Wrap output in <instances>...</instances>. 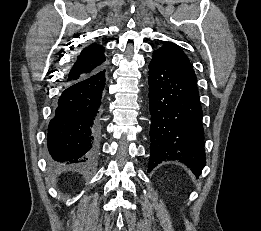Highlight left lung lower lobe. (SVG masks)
<instances>
[{
  "mask_svg": "<svg viewBox=\"0 0 261 231\" xmlns=\"http://www.w3.org/2000/svg\"><path fill=\"white\" fill-rule=\"evenodd\" d=\"M151 152L148 171L178 160L198 177L206 164L197 84L153 54L149 64Z\"/></svg>",
  "mask_w": 261,
  "mask_h": 231,
  "instance_id": "0a47b994",
  "label": "left lung lower lobe"
}]
</instances>
